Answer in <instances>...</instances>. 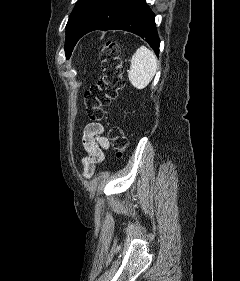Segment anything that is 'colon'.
I'll list each match as a JSON object with an SVG mask.
<instances>
[{
  "mask_svg": "<svg viewBox=\"0 0 240 281\" xmlns=\"http://www.w3.org/2000/svg\"><path fill=\"white\" fill-rule=\"evenodd\" d=\"M119 52L115 41H106L100 55L101 77L84 94L86 114L93 122L105 118V107L117 97L119 90L125 85ZM109 134L117 155H122L128 144L125 134L117 126H111Z\"/></svg>",
  "mask_w": 240,
  "mask_h": 281,
  "instance_id": "5ec220e1",
  "label": "colon"
}]
</instances>
